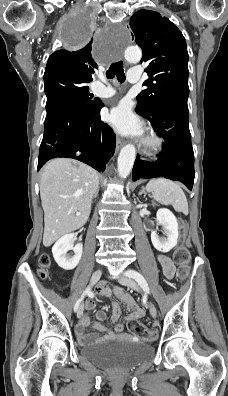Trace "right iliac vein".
Returning <instances> with one entry per match:
<instances>
[{"label": "right iliac vein", "mask_w": 228, "mask_h": 396, "mask_svg": "<svg viewBox=\"0 0 228 396\" xmlns=\"http://www.w3.org/2000/svg\"><path fill=\"white\" fill-rule=\"evenodd\" d=\"M102 275V270L98 269L96 270L93 274L92 277L90 279V286H93L97 283V281L100 279ZM83 309H84V304L83 302L79 305L78 309H77V317L81 318L82 314H83Z\"/></svg>", "instance_id": "right-iliac-vein-1"}]
</instances>
